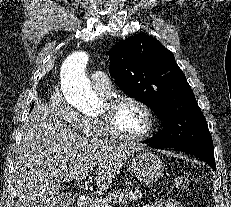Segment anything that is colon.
Listing matches in <instances>:
<instances>
[{"mask_svg": "<svg viewBox=\"0 0 231 207\" xmlns=\"http://www.w3.org/2000/svg\"><path fill=\"white\" fill-rule=\"evenodd\" d=\"M176 188L181 192H189L191 190V181L189 177L178 175L174 179Z\"/></svg>", "mask_w": 231, "mask_h": 207, "instance_id": "colon-1", "label": "colon"}]
</instances>
